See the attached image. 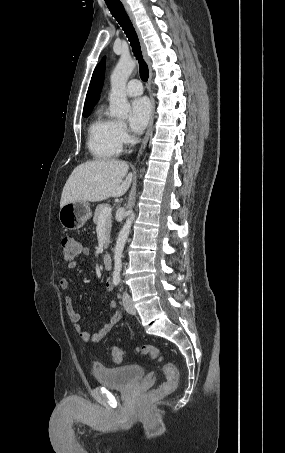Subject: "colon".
<instances>
[{"label":"colon","mask_w":285,"mask_h":453,"mask_svg":"<svg viewBox=\"0 0 285 453\" xmlns=\"http://www.w3.org/2000/svg\"><path fill=\"white\" fill-rule=\"evenodd\" d=\"M62 248L64 258L68 261H71L75 257H77L80 254L81 249L79 242L75 238L70 236L64 237L62 239ZM137 350L138 352L144 355H148L152 359L163 364L162 369L166 376V380L162 384H160L157 389L154 390L153 395L163 397L174 392L179 380V373L176 366L173 363L167 361L162 351L152 344H143L139 346ZM111 354L113 360L116 363H121L123 361L124 353L120 348L113 347Z\"/></svg>","instance_id":"5ec220e1"}]
</instances>
